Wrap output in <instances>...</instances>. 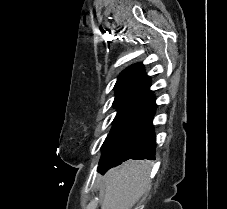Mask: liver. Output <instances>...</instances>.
Listing matches in <instances>:
<instances>
[{"instance_id":"obj_1","label":"liver","mask_w":227,"mask_h":209,"mask_svg":"<svg viewBox=\"0 0 227 209\" xmlns=\"http://www.w3.org/2000/svg\"><path fill=\"white\" fill-rule=\"evenodd\" d=\"M150 167L148 163L127 161L121 167L110 169L97 183L105 187L101 209H132L149 187Z\"/></svg>"}]
</instances>
